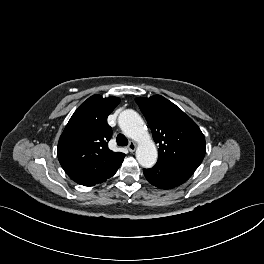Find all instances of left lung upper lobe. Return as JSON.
I'll list each match as a JSON object with an SVG mask.
<instances>
[{
    "mask_svg": "<svg viewBox=\"0 0 264 264\" xmlns=\"http://www.w3.org/2000/svg\"><path fill=\"white\" fill-rule=\"evenodd\" d=\"M153 139L159 144L158 160L188 166L194 170L205 155V138L197 124L179 107L160 95L136 99Z\"/></svg>",
    "mask_w": 264,
    "mask_h": 264,
    "instance_id": "1",
    "label": "left lung upper lobe"
}]
</instances>
